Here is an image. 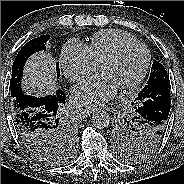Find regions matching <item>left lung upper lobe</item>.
Masks as SVG:
<instances>
[{
  "mask_svg": "<svg viewBox=\"0 0 184 184\" xmlns=\"http://www.w3.org/2000/svg\"><path fill=\"white\" fill-rule=\"evenodd\" d=\"M161 83H169V76L164 66L154 60L147 85L140 91ZM156 89V95H160V88ZM129 114L119 117L112 127V137L116 143L117 154L126 161L141 160L151 155L162 142L163 137L158 138L154 130L139 124L133 117L132 105ZM167 125V123L165 124Z\"/></svg>",
  "mask_w": 184,
  "mask_h": 184,
  "instance_id": "left-lung-upper-lobe-1",
  "label": "left lung upper lobe"
}]
</instances>
